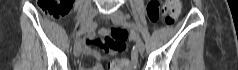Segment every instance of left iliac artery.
<instances>
[{
	"label": "left iliac artery",
	"instance_id": "obj_1",
	"mask_svg": "<svg viewBox=\"0 0 238 70\" xmlns=\"http://www.w3.org/2000/svg\"><path fill=\"white\" fill-rule=\"evenodd\" d=\"M129 26L135 28L136 30H139L142 35H143V41L144 42H148L149 38L151 37L150 33H146L145 30L139 25V24H135V23H130Z\"/></svg>",
	"mask_w": 238,
	"mask_h": 70
}]
</instances>
